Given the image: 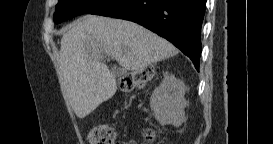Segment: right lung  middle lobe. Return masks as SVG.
I'll return each instance as SVG.
<instances>
[{
	"instance_id": "right-lung-middle-lobe-1",
	"label": "right lung middle lobe",
	"mask_w": 273,
	"mask_h": 144,
	"mask_svg": "<svg viewBox=\"0 0 273 144\" xmlns=\"http://www.w3.org/2000/svg\"><path fill=\"white\" fill-rule=\"evenodd\" d=\"M109 0H59L54 13L56 24L72 17L88 14Z\"/></svg>"
}]
</instances>
